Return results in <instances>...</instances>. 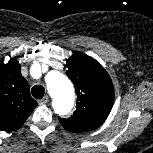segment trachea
Listing matches in <instances>:
<instances>
[{
  "label": "trachea",
  "instance_id": "trachea-1",
  "mask_svg": "<svg viewBox=\"0 0 153 153\" xmlns=\"http://www.w3.org/2000/svg\"><path fill=\"white\" fill-rule=\"evenodd\" d=\"M31 92L34 98L42 99L45 94V88L42 85H34Z\"/></svg>",
  "mask_w": 153,
  "mask_h": 153
}]
</instances>
